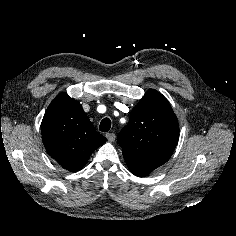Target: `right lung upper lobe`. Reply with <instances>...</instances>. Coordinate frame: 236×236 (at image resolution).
<instances>
[{
    "mask_svg": "<svg viewBox=\"0 0 236 236\" xmlns=\"http://www.w3.org/2000/svg\"><path fill=\"white\" fill-rule=\"evenodd\" d=\"M45 149L70 172L80 170L92 152L105 143L80 103L60 93L48 106L41 123Z\"/></svg>",
    "mask_w": 236,
    "mask_h": 236,
    "instance_id": "right-lung-upper-lobe-1",
    "label": "right lung upper lobe"
}]
</instances>
